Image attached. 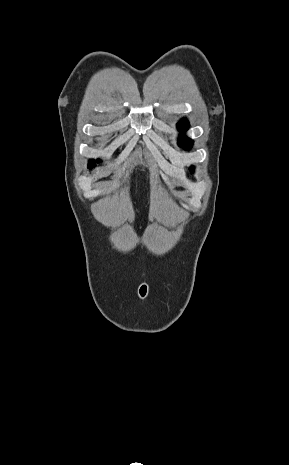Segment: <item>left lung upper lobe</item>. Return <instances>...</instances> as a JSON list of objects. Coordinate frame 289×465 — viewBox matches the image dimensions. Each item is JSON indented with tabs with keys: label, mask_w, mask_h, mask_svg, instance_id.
Instances as JSON below:
<instances>
[{
	"label": "left lung upper lobe",
	"mask_w": 289,
	"mask_h": 465,
	"mask_svg": "<svg viewBox=\"0 0 289 465\" xmlns=\"http://www.w3.org/2000/svg\"><path fill=\"white\" fill-rule=\"evenodd\" d=\"M188 125H189V122L186 120V119H182L178 124H177V128L178 130L180 131H186L188 129ZM178 145L180 147H183L185 150H189L191 149L192 145H193V141L186 137L184 134H180V137L178 139ZM191 171H193V167L190 168Z\"/></svg>",
	"instance_id": "1"
}]
</instances>
